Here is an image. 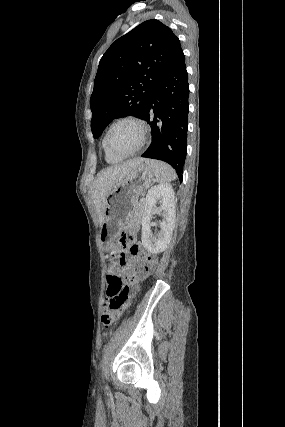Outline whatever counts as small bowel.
<instances>
[{"label":"small bowel","instance_id":"c3829d8e","mask_svg":"<svg viewBox=\"0 0 285 427\" xmlns=\"http://www.w3.org/2000/svg\"><path fill=\"white\" fill-rule=\"evenodd\" d=\"M122 259L123 260L126 259L125 254L122 256ZM152 263H153V267L152 268H154L155 265H156V259L153 258ZM112 270L116 271L117 273H121L122 269L119 267L118 261H114L113 262V265L110 267L109 271H112ZM108 293H109V290H108ZM128 306H129V302L125 301L123 303V305L121 306V308L119 309V311H118V316H120L128 308Z\"/></svg>","mask_w":285,"mask_h":427}]
</instances>
